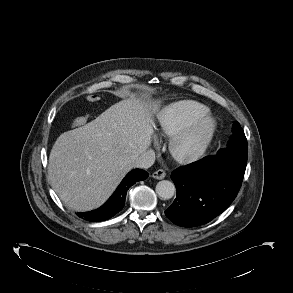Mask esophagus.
I'll use <instances>...</instances> for the list:
<instances>
[{
	"label": "esophagus",
	"mask_w": 293,
	"mask_h": 293,
	"mask_svg": "<svg viewBox=\"0 0 293 293\" xmlns=\"http://www.w3.org/2000/svg\"><path fill=\"white\" fill-rule=\"evenodd\" d=\"M165 176H166V173L162 169H159V170L152 173V177L155 179H158V180L164 179Z\"/></svg>",
	"instance_id": "34e87169"
}]
</instances>
